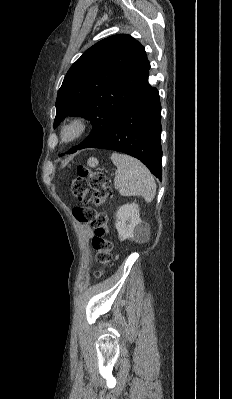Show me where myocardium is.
<instances>
[{"label": "myocardium", "mask_w": 232, "mask_h": 399, "mask_svg": "<svg viewBox=\"0 0 232 399\" xmlns=\"http://www.w3.org/2000/svg\"><path fill=\"white\" fill-rule=\"evenodd\" d=\"M89 126L88 120L82 115H74L60 128V139L63 143H72L79 138H81L87 131ZM68 130H73V134L69 138H65V132Z\"/></svg>", "instance_id": "myocardium-1"}]
</instances>
